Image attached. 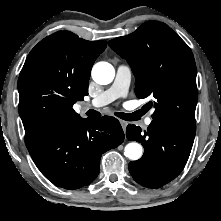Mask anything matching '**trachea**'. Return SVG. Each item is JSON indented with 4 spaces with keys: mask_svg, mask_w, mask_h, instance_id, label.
<instances>
[{
    "mask_svg": "<svg viewBox=\"0 0 221 221\" xmlns=\"http://www.w3.org/2000/svg\"><path fill=\"white\" fill-rule=\"evenodd\" d=\"M87 115L90 117H99L100 113L98 111L95 110H89L87 112ZM115 115L123 120L126 121H134L137 120V113H123V112H116Z\"/></svg>",
    "mask_w": 221,
    "mask_h": 221,
    "instance_id": "3493384b",
    "label": "trachea"
}]
</instances>
